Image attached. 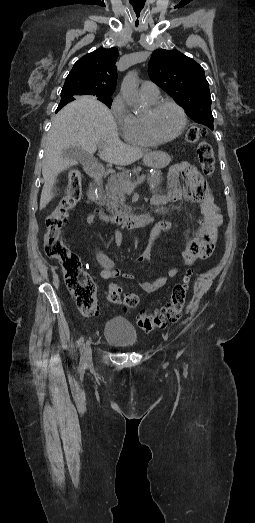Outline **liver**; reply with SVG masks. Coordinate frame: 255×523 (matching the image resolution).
<instances>
[{"label": "liver", "instance_id": "obj_1", "mask_svg": "<svg viewBox=\"0 0 255 523\" xmlns=\"http://www.w3.org/2000/svg\"><path fill=\"white\" fill-rule=\"evenodd\" d=\"M71 146H81L88 154H94L97 146L101 160L115 166H130L143 158L141 148H133L123 144L119 138L116 122L107 106L92 98L81 96L71 102L52 118L51 130L45 148V164L42 168L44 186L40 198V210L46 208L54 198L52 190L58 182L57 176L70 166H76V160L63 158L62 150ZM158 154L165 160L164 152H150Z\"/></svg>", "mask_w": 255, "mask_h": 523}]
</instances>
